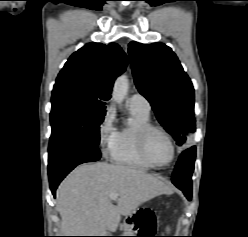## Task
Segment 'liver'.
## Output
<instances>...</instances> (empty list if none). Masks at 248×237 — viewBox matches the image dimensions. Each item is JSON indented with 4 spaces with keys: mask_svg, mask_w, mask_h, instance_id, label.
<instances>
[{
    "mask_svg": "<svg viewBox=\"0 0 248 237\" xmlns=\"http://www.w3.org/2000/svg\"><path fill=\"white\" fill-rule=\"evenodd\" d=\"M172 189L143 170L104 162L82 164L59 185L57 210L63 236H105L115 232L121 216ZM117 194V205L109 196Z\"/></svg>",
    "mask_w": 248,
    "mask_h": 237,
    "instance_id": "1",
    "label": "liver"
}]
</instances>
